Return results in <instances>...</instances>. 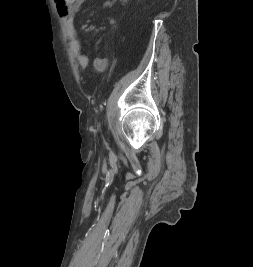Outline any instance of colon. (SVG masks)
Segmentation results:
<instances>
[{"instance_id":"colon-1","label":"colon","mask_w":253,"mask_h":267,"mask_svg":"<svg viewBox=\"0 0 253 267\" xmlns=\"http://www.w3.org/2000/svg\"><path fill=\"white\" fill-rule=\"evenodd\" d=\"M59 2L62 4H69L72 2V0H60Z\"/></svg>"}]
</instances>
